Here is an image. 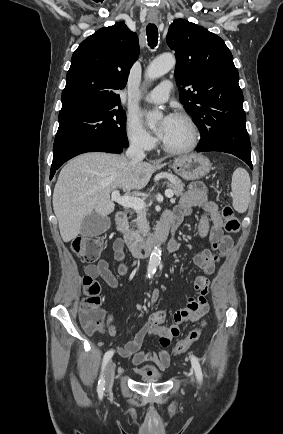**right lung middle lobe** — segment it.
Returning <instances> with one entry per match:
<instances>
[{"label": "right lung middle lobe", "mask_w": 283, "mask_h": 434, "mask_svg": "<svg viewBox=\"0 0 283 434\" xmlns=\"http://www.w3.org/2000/svg\"><path fill=\"white\" fill-rule=\"evenodd\" d=\"M58 120L54 156L73 145L92 140H108L124 148L129 146L126 114L121 107L63 115Z\"/></svg>", "instance_id": "obj_1"}]
</instances>
